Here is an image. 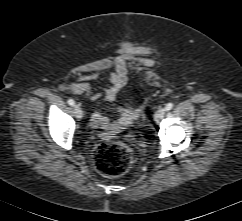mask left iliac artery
Here are the masks:
<instances>
[{"label": "left iliac artery", "instance_id": "obj_1", "mask_svg": "<svg viewBox=\"0 0 242 221\" xmlns=\"http://www.w3.org/2000/svg\"><path fill=\"white\" fill-rule=\"evenodd\" d=\"M173 108V104L172 103H168L166 106H165V110L166 111H169Z\"/></svg>", "mask_w": 242, "mask_h": 221}]
</instances>
